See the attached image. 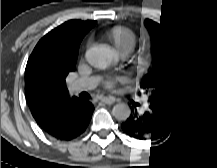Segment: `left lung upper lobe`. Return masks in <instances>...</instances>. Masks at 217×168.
<instances>
[{
    "label": "left lung upper lobe",
    "instance_id": "1",
    "mask_svg": "<svg viewBox=\"0 0 217 168\" xmlns=\"http://www.w3.org/2000/svg\"><path fill=\"white\" fill-rule=\"evenodd\" d=\"M149 33L153 64L142 86L150 91V101L178 110L183 98L184 75L179 45L163 26L144 22Z\"/></svg>",
    "mask_w": 217,
    "mask_h": 168
}]
</instances>
